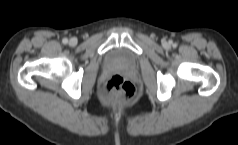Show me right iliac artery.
Returning <instances> with one entry per match:
<instances>
[{
  "label": "right iliac artery",
  "instance_id": "obj_1",
  "mask_svg": "<svg viewBox=\"0 0 238 145\" xmlns=\"http://www.w3.org/2000/svg\"><path fill=\"white\" fill-rule=\"evenodd\" d=\"M62 42H63L64 44H67V43H68V39H67V38H64V39L62 40Z\"/></svg>",
  "mask_w": 238,
  "mask_h": 145
}]
</instances>
